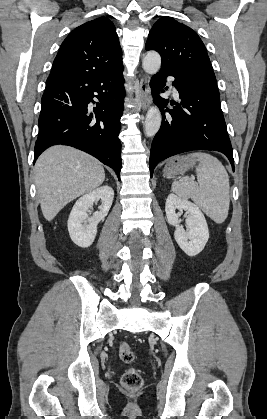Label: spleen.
Returning <instances> with one entry per match:
<instances>
[{"label":"spleen","instance_id":"spleen-1","mask_svg":"<svg viewBox=\"0 0 267 419\" xmlns=\"http://www.w3.org/2000/svg\"><path fill=\"white\" fill-rule=\"evenodd\" d=\"M188 157L200 161L196 169L199 185L189 177L172 183V191L181 198L193 200L215 223H223L229 211V176L222 163L205 152H195Z\"/></svg>","mask_w":267,"mask_h":419}]
</instances>
